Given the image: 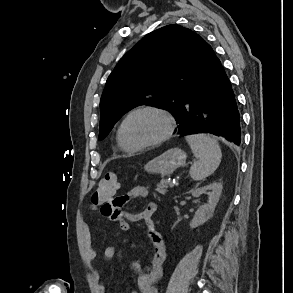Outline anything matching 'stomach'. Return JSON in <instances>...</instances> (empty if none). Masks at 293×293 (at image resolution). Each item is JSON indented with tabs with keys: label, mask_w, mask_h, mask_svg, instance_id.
Masks as SVG:
<instances>
[{
	"label": "stomach",
	"mask_w": 293,
	"mask_h": 293,
	"mask_svg": "<svg viewBox=\"0 0 293 293\" xmlns=\"http://www.w3.org/2000/svg\"><path fill=\"white\" fill-rule=\"evenodd\" d=\"M186 162V153L180 148H171L160 156L150 160L145 166L149 173L167 176Z\"/></svg>",
	"instance_id": "0dacf381"
}]
</instances>
